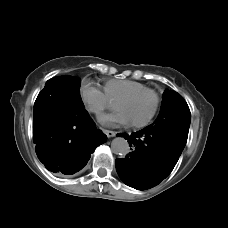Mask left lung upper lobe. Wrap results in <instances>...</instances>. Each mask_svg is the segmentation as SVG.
Wrapping results in <instances>:
<instances>
[{
  "label": "left lung upper lobe",
  "instance_id": "1",
  "mask_svg": "<svg viewBox=\"0 0 228 228\" xmlns=\"http://www.w3.org/2000/svg\"><path fill=\"white\" fill-rule=\"evenodd\" d=\"M190 121V110L185 100L177 92L166 90L160 114L151 125L164 127L173 132H182L187 139Z\"/></svg>",
  "mask_w": 228,
  "mask_h": 228
}]
</instances>
